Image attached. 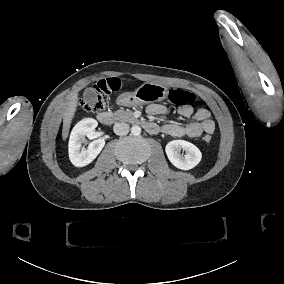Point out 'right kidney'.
I'll list each match as a JSON object with an SVG mask.
<instances>
[{
    "instance_id": "right-kidney-1",
    "label": "right kidney",
    "mask_w": 284,
    "mask_h": 284,
    "mask_svg": "<svg viewBox=\"0 0 284 284\" xmlns=\"http://www.w3.org/2000/svg\"><path fill=\"white\" fill-rule=\"evenodd\" d=\"M96 127L95 120L85 119L72 130L69 141V157L75 167L82 168L92 163L105 146V140L98 138L88 146L86 152H83L82 143H84L86 135L91 138Z\"/></svg>"
}]
</instances>
